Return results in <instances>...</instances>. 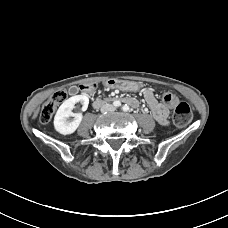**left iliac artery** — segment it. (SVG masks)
<instances>
[{"label": "left iliac artery", "instance_id": "1", "mask_svg": "<svg viewBox=\"0 0 228 228\" xmlns=\"http://www.w3.org/2000/svg\"><path fill=\"white\" fill-rule=\"evenodd\" d=\"M122 110H123V111H128V110H129V107H128L127 105H124V106L122 107Z\"/></svg>", "mask_w": 228, "mask_h": 228}]
</instances>
